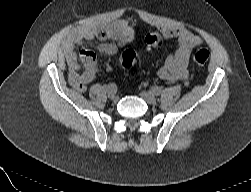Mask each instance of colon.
<instances>
[{"label": "colon", "instance_id": "obj_1", "mask_svg": "<svg viewBox=\"0 0 251 192\" xmlns=\"http://www.w3.org/2000/svg\"><path fill=\"white\" fill-rule=\"evenodd\" d=\"M145 42L149 47H159L163 44V37L156 32L150 33L146 36ZM192 58L197 65H204L209 59V51L205 48H199L194 51ZM135 59L134 51L127 49L122 52L120 62L124 69H129L134 65Z\"/></svg>", "mask_w": 251, "mask_h": 192}]
</instances>
